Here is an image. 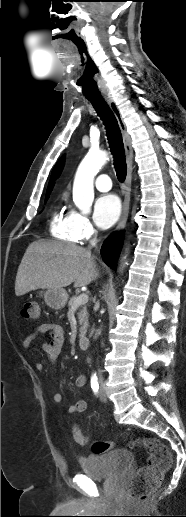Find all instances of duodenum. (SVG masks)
I'll use <instances>...</instances> for the list:
<instances>
[{
  "label": "duodenum",
  "instance_id": "obj_1",
  "mask_svg": "<svg viewBox=\"0 0 186 517\" xmlns=\"http://www.w3.org/2000/svg\"><path fill=\"white\" fill-rule=\"evenodd\" d=\"M79 347L82 350H87L90 347V339L88 336H80L78 339Z\"/></svg>",
  "mask_w": 186,
  "mask_h": 517
}]
</instances>
